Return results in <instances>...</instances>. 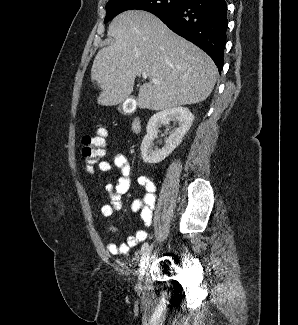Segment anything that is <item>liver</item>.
Segmentation results:
<instances>
[{
	"label": "liver",
	"instance_id": "liver-1",
	"mask_svg": "<svg viewBox=\"0 0 298 325\" xmlns=\"http://www.w3.org/2000/svg\"><path fill=\"white\" fill-rule=\"evenodd\" d=\"M108 36L115 42L100 48L91 68L93 88L101 90L98 104L124 102L143 72L149 80L139 88V108L166 110L202 102L211 94L218 74L212 58L155 14L125 10L110 22Z\"/></svg>",
	"mask_w": 298,
	"mask_h": 325
}]
</instances>
